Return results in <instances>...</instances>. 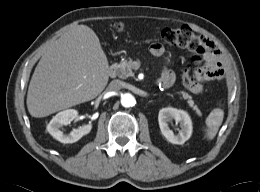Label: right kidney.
<instances>
[{
    "mask_svg": "<svg viewBox=\"0 0 260 192\" xmlns=\"http://www.w3.org/2000/svg\"><path fill=\"white\" fill-rule=\"evenodd\" d=\"M78 117V111L75 109H67L56 114L47 126V131L61 143H74L88 134L91 129V124H84L77 129H73L69 134H64L60 128L63 125H68Z\"/></svg>",
    "mask_w": 260,
    "mask_h": 192,
    "instance_id": "1",
    "label": "right kidney"
}]
</instances>
